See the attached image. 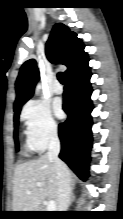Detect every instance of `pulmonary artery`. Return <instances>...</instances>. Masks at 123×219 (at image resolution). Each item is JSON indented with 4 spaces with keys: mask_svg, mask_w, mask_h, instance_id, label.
Instances as JSON below:
<instances>
[{
    "mask_svg": "<svg viewBox=\"0 0 123 219\" xmlns=\"http://www.w3.org/2000/svg\"><path fill=\"white\" fill-rule=\"evenodd\" d=\"M52 92L55 94H61L63 92V87L62 85L56 81L53 86H52Z\"/></svg>",
    "mask_w": 123,
    "mask_h": 219,
    "instance_id": "pulmonary-artery-1",
    "label": "pulmonary artery"
}]
</instances>
